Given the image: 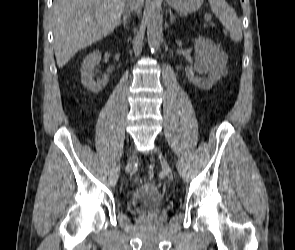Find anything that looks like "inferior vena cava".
I'll use <instances>...</instances> for the list:
<instances>
[{
	"mask_svg": "<svg viewBox=\"0 0 295 250\" xmlns=\"http://www.w3.org/2000/svg\"><path fill=\"white\" fill-rule=\"evenodd\" d=\"M129 1H130V3L127 7H125L124 13L130 14L131 11H135L137 13H140V11H141V8L139 6L140 0H129Z\"/></svg>",
	"mask_w": 295,
	"mask_h": 250,
	"instance_id": "602c4592",
	"label": "inferior vena cava"
}]
</instances>
